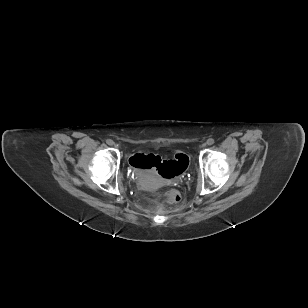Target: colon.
Instances as JSON below:
<instances>
[{"label":"colon","instance_id":"colon-1","mask_svg":"<svg viewBox=\"0 0 308 308\" xmlns=\"http://www.w3.org/2000/svg\"><path fill=\"white\" fill-rule=\"evenodd\" d=\"M130 163L132 166L140 169H156L164 178H173L186 170L189 160L181 152H176L173 160H162L153 154L138 153L130 159ZM163 196L170 203H178L181 200L180 193L175 189L165 191ZM161 197V194L154 193L149 196V200L157 202Z\"/></svg>","mask_w":308,"mask_h":308}]
</instances>
